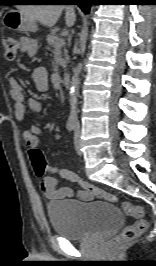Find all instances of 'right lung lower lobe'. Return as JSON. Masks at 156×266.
Masks as SVG:
<instances>
[{"label": "right lung lower lobe", "instance_id": "right-lung-lower-lobe-1", "mask_svg": "<svg viewBox=\"0 0 156 266\" xmlns=\"http://www.w3.org/2000/svg\"><path fill=\"white\" fill-rule=\"evenodd\" d=\"M75 3L78 5L81 10L85 13L88 14L91 5H93L94 0H66Z\"/></svg>", "mask_w": 156, "mask_h": 266}]
</instances>
